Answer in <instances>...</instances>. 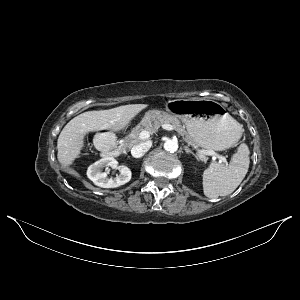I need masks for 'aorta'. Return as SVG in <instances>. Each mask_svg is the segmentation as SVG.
Listing matches in <instances>:
<instances>
[{
    "label": "aorta",
    "instance_id": "obj_1",
    "mask_svg": "<svg viewBox=\"0 0 300 300\" xmlns=\"http://www.w3.org/2000/svg\"><path fill=\"white\" fill-rule=\"evenodd\" d=\"M164 149L167 152L174 153L178 150V141L174 139H168L164 143Z\"/></svg>",
    "mask_w": 300,
    "mask_h": 300
}]
</instances>
